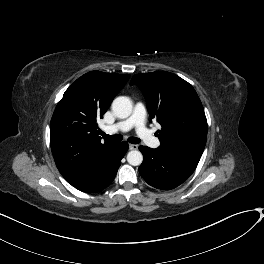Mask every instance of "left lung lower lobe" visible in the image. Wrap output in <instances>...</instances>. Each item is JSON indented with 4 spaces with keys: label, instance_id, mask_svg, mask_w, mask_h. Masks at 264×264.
Returning <instances> with one entry per match:
<instances>
[{
    "label": "left lung lower lobe",
    "instance_id": "1",
    "mask_svg": "<svg viewBox=\"0 0 264 264\" xmlns=\"http://www.w3.org/2000/svg\"><path fill=\"white\" fill-rule=\"evenodd\" d=\"M139 150L144 158L139 173L149 185L161 190H170L185 182L199 162L147 146H139Z\"/></svg>",
    "mask_w": 264,
    "mask_h": 264
}]
</instances>
